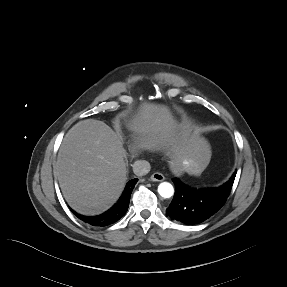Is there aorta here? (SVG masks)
I'll return each mask as SVG.
<instances>
[{
	"label": "aorta",
	"instance_id": "1",
	"mask_svg": "<svg viewBox=\"0 0 287 287\" xmlns=\"http://www.w3.org/2000/svg\"><path fill=\"white\" fill-rule=\"evenodd\" d=\"M158 193L163 198H170L174 194V188L169 182H162L158 186Z\"/></svg>",
	"mask_w": 287,
	"mask_h": 287
}]
</instances>
